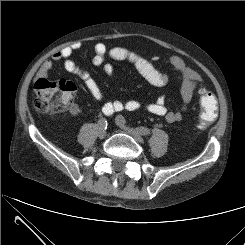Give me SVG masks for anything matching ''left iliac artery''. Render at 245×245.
Listing matches in <instances>:
<instances>
[{"instance_id": "44dca946", "label": "left iliac artery", "mask_w": 245, "mask_h": 245, "mask_svg": "<svg viewBox=\"0 0 245 245\" xmlns=\"http://www.w3.org/2000/svg\"><path fill=\"white\" fill-rule=\"evenodd\" d=\"M122 123L125 125L126 124V120L123 116L120 117ZM136 130L142 134V135H149L150 134V130L146 127H142V126H139V127H136Z\"/></svg>"}]
</instances>
